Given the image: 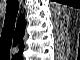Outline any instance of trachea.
I'll use <instances>...</instances> for the list:
<instances>
[{
    "label": "trachea",
    "instance_id": "3493384b",
    "mask_svg": "<svg viewBox=\"0 0 80 60\" xmlns=\"http://www.w3.org/2000/svg\"><path fill=\"white\" fill-rule=\"evenodd\" d=\"M19 10L18 0H7L4 28L0 38V53L10 57V47Z\"/></svg>",
    "mask_w": 80,
    "mask_h": 60
}]
</instances>
